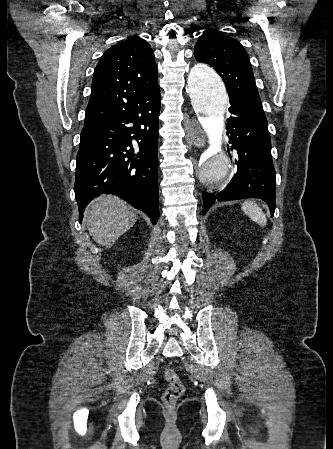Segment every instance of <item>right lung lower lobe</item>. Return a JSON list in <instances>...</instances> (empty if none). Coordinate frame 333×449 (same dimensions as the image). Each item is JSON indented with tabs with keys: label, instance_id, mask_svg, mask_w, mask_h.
I'll return each mask as SVG.
<instances>
[{
	"label": "right lung lower lobe",
	"instance_id": "right-lung-lower-lobe-1",
	"mask_svg": "<svg viewBox=\"0 0 333 449\" xmlns=\"http://www.w3.org/2000/svg\"><path fill=\"white\" fill-rule=\"evenodd\" d=\"M159 114L155 93L116 117L84 126L74 186L80 222L86 205L101 193L120 196L157 222Z\"/></svg>",
	"mask_w": 333,
	"mask_h": 449
}]
</instances>
